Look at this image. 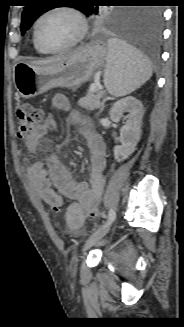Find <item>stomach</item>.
I'll list each match as a JSON object with an SVG mask.
<instances>
[{"mask_svg": "<svg viewBox=\"0 0 184 327\" xmlns=\"http://www.w3.org/2000/svg\"><path fill=\"white\" fill-rule=\"evenodd\" d=\"M107 54L108 45L94 42L56 63H17L13 70L15 89L26 99L55 87L76 90L102 70Z\"/></svg>", "mask_w": 184, "mask_h": 327, "instance_id": "0dacf381", "label": "stomach"}]
</instances>
